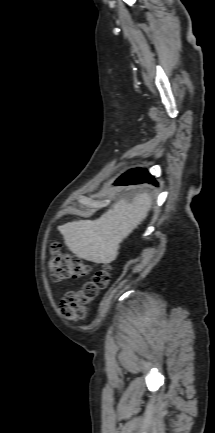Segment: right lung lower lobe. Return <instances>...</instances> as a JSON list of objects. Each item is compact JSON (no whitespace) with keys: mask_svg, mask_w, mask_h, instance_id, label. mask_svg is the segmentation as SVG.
Listing matches in <instances>:
<instances>
[{"mask_svg":"<svg viewBox=\"0 0 215 433\" xmlns=\"http://www.w3.org/2000/svg\"><path fill=\"white\" fill-rule=\"evenodd\" d=\"M144 181H149L154 185H157L154 178L145 169H132L127 173L123 174L115 183V185H129L139 184Z\"/></svg>","mask_w":215,"mask_h":433,"instance_id":"obj_1","label":"right lung lower lobe"}]
</instances>
